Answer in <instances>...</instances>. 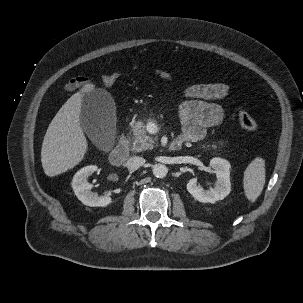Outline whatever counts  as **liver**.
Wrapping results in <instances>:
<instances>
[{"instance_id": "obj_1", "label": "liver", "mask_w": 303, "mask_h": 303, "mask_svg": "<svg viewBox=\"0 0 303 303\" xmlns=\"http://www.w3.org/2000/svg\"><path fill=\"white\" fill-rule=\"evenodd\" d=\"M94 87L92 83L87 84L72 95L51 121L41 149L42 167L47 176L65 173L84 159L88 143L80 125L82 93Z\"/></svg>"}]
</instances>
